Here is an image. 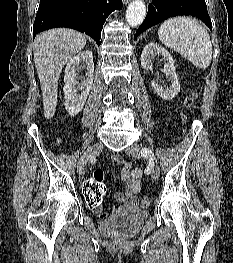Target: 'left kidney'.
I'll list each match as a JSON object with an SVG mask.
<instances>
[{"label": "left kidney", "mask_w": 233, "mask_h": 263, "mask_svg": "<svg viewBox=\"0 0 233 263\" xmlns=\"http://www.w3.org/2000/svg\"><path fill=\"white\" fill-rule=\"evenodd\" d=\"M157 55H162L165 65L163 73L167 76L168 81L171 83L169 88H165L156 81H151V86L154 91L164 100H171L180 91V83L178 76L175 72L174 60L170 53L157 43L151 42L144 47L141 54V66L142 68L149 70L152 66V61Z\"/></svg>", "instance_id": "left-kidney-1"}]
</instances>
